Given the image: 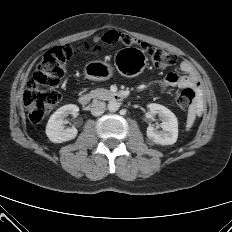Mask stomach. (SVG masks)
<instances>
[{"mask_svg": "<svg viewBox=\"0 0 232 232\" xmlns=\"http://www.w3.org/2000/svg\"><path fill=\"white\" fill-rule=\"evenodd\" d=\"M147 61L144 51L135 47L122 48L114 56L117 71L127 77L139 75L145 69ZM84 75L90 80L104 81L113 75V67L106 61H90L84 67Z\"/></svg>", "mask_w": 232, "mask_h": 232, "instance_id": "stomach-1", "label": "stomach"}]
</instances>
